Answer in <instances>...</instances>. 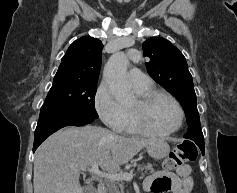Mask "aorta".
<instances>
[{
  "label": "aorta",
  "instance_id": "762f6f07",
  "mask_svg": "<svg viewBox=\"0 0 237 193\" xmlns=\"http://www.w3.org/2000/svg\"><path fill=\"white\" fill-rule=\"evenodd\" d=\"M127 66L128 59L125 54L117 52L110 57L103 72L111 94L123 104L132 100L126 78Z\"/></svg>",
  "mask_w": 237,
  "mask_h": 193
}]
</instances>
